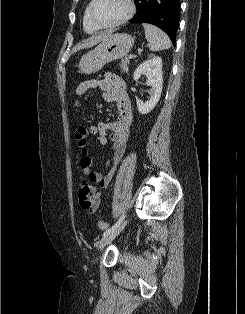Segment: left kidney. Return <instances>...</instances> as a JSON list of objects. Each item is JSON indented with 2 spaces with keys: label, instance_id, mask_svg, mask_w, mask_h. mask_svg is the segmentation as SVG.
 <instances>
[{
  "label": "left kidney",
  "instance_id": "obj_1",
  "mask_svg": "<svg viewBox=\"0 0 245 314\" xmlns=\"http://www.w3.org/2000/svg\"><path fill=\"white\" fill-rule=\"evenodd\" d=\"M141 75H146V84L151 86V92L148 101L142 102L137 99V107L139 113L147 114L151 112L157 105L162 93V59L160 57L154 56L151 59L141 63L134 72V80L137 81Z\"/></svg>",
  "mask_w": 245,
  "mask_h": 314
}]
</instances>
